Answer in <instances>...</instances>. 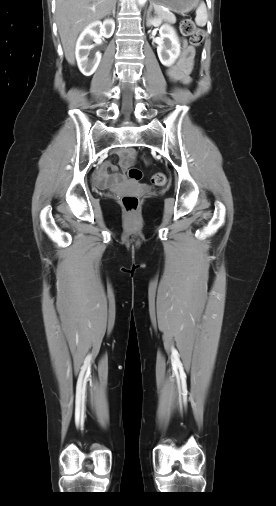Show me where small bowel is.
<instances>
[{"mask_svg":"<svg viewBox=\"0 0 276 506\" xmlns=\"http://www.w3.org/2000/svg\"><path fill=\"white\" fill-rule=\"evenodd\" d=\"M193 54L194 49L188 46L186 43L183 44V51L178 62L169 67L167 75L174 82H181L183 84L190 83V72L193 66ZM136 150L134 148L122 149L119 152L120 161L119 167L121 172H117V167L110 162L104 164V168H108L115 173L108 175L103 169L98 171L95 177V185L98 189H106L111 186L118 185L124 179V172L130 167L136 157Z\"/></svg>","mask_w":276,"mask_h":506,"instance_id":"c3829d8e","label":"small bowel"}]
</instances>
